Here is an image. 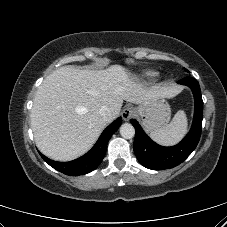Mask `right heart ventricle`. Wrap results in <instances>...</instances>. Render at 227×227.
<instances>
[{"label":"right heart ventricle","instance_id":"right-heart-ventricle-1","mask_svg":"<svg viewBox=\"0 0 227 227\" xmlns=\"http://www.w3.org/2000/svg\"><path fill=\"white\" fill-rule=\"evenodd\" d=\"M143 76L147 77V78H152V77L156 76V72L146 71V72L143 73Z\"/></svg>","mask_w":227,"mask_h":227}]
</instances>
